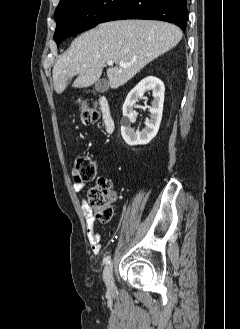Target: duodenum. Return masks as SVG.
Masks as SVG:
<instances>
[{"mask_svg": "<svg viewBox=\"0 0 240 329\" xmlns=\"http://www.w3.org/2000/svg\"><path fill=\"white\" fill-rule=\"evenodd\" d=\"M100 110L105 130L108 134H112L115 129V122L112 115L110 102L105 96L100 98Z\"/></svg>", "mask_w": 240, "mask_h": 329, "instance_id": "1", "label": "duodenum"}]
</instances>
